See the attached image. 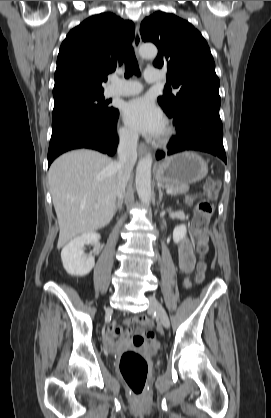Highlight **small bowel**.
Instances as JSON below:
<instances>
[{
  "instance_id": "1",
  "label": "small bowel",
  "mask_w": 271,
  "mask_h": 418,
  "mask_svg": "<svg viewBox=\"0 0 271 418\" xmlns=\"http://www.w3.org/2000/svg\"><path fill=\"white\" fill-rule=\"evenodd\" d=\"M179 253V266L183 273H190L195 265V256L193 251V246L191 242L187 238H183L178 247ZM185 288L190 287L189 279H185L183 283ZM135 323L139 322V317H131L124 321V325L127 327L126 333L124 336L116 341L115 338L122 334V328L112 323L109 325L105 335H104V343L106 348L109 351H117L122 346L126 345H133L134 347H141L143 345L144 334L142 330H139L138 333L132 337V329L131 326ZM152 339V344L154 346L157 345L156 341Z\"/></svg>"
}]
</instances>
